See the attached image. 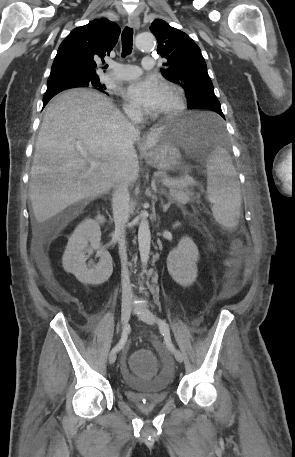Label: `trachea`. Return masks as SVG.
Listing matches in <instances>:
<instances>
[{
    "mask_svg": "<svg viewBox=\"0 0 295 457\" xmlns=\"http://www.w3.org/2000/svg\"><path fill=\"white\" fill-rule=\"evenodd\" d=\"M133 45V28L125 27L122 32V57L132 52Z\"/></svg>",
    "mask_w": 295,
    "mask_h": 457,
    "instance_id": "obj_1",
    "label": "trachea"
}]
</instances>
